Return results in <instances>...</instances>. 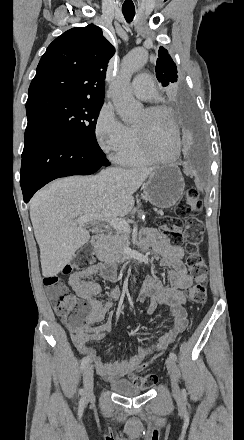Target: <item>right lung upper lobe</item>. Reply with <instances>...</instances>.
Listing matches in <instances>:
<instances>
[{"label":"right lung upper lobe","instance_id":"right-lung-upper-lobe-1","mask_svg":"<svg viewBox=\"0 0 244 440\" xmlns=\"http://www.w3.org/2000/svg\"><path fill=\"white\" fill-rule=\"evenodd\" d=\"M114 53L102 30L93 24L66 31L42 56L28 99L61 96L104 100L107 63Z\"/></svg>","mask_w":244,"mask_h":440}]
</instances>
